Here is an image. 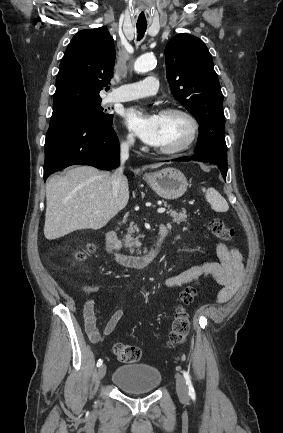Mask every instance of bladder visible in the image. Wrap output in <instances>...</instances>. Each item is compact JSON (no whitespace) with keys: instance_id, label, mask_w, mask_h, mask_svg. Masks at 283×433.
<instances>
[{"instance_id":"31cf9c89","label":"bladder","mask_w":283,"mask_h":433,"mask_svg":"<svg viewBox=\"0 0 283 433\" xmlns=\"http://www.w3.org/2000/svg\"><path fill=\"white\" fill-rule=\"evenodd\" d=\"M161 382L160 370L149 364L120 366L113 376V383L128 393H149L158 388Z\"/></svg>"}]
</instances>
